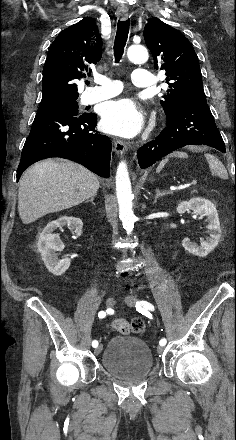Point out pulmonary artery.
Instances as JSON below:
<instances>
[{
  "label": "pulmonary artery",
  "mask_w": 236,
  "mask_h": 440,
  "mask_svg": "<svg viewBox=\"0 0 236 440\" xmlns=\"http://www.w3.org/2000/svg\"><path fill=\"white\" fill-rule=\"evenodd\" d=\"M132 81L137 88H148L153 85V75L144 68H135L132 73ZM99 86L88 89L83 94V102L85 104L96 103L111 97L116 96L122 90L121 83L119 81L111 80L107 77H101Z\"/></svg>",
  "instance_id": "pulmonary-artery-1"
}]
</instances>
